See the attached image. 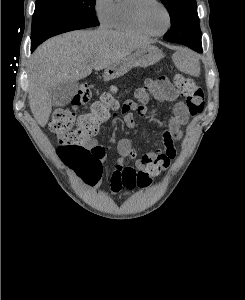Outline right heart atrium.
Returning a JSON list of instances; mask_svg holds the SVG:
<instances>
[{
	"mask_svg": "<svg viewBox=\"0 0 245 300\" xmlns=\"http://www.w3.org/2000/svg\"><path fill=\"white\" fill-rule=\"evenodd\" d=\"M113 0H94L93 9L98 21L108 25L111 17Z\"/></svg>",
	"mask_w": 245,
	"mask_h": 300,
	"instance_id": "right-heart-atrium-1",
	"label": "right heart atrium"
}]
</instances>
